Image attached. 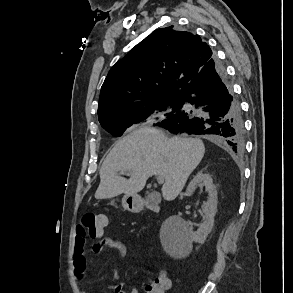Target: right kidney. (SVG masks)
<instances>
[{
  "instance_id": "ca27d5eb",
  "label": "right kidney",
  "mask_w": 293,
  "mask_h": 293,
  "mask_svg": "<svg viewBox=\"0 0 293 293\" xmlns=\"http://www.w3.org/2000/svg\"><path fill=\"white\" fill-rule=\"evenodd\" d=\"M205 186L208 193V200L203 203L202 210L204 212L203 223L200 224L197 231L193 232L189 224L182 221L180 218L174 220L180 224L176 226L175 234H167V226L164 225L161 229V243L164 250L173 254L175 250L182 247H190L192 242L204 243L208 234L214 226V217L217 212V190L213 184V180L209 174L199 172L191 180L186 189L187 195H192L196 187Z\"/></svg>"
}]
</instances>
